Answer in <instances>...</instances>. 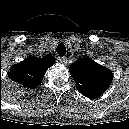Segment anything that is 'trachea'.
<instances>
[{"mask_svg": "<svg viewBox=\"0 0 129 129\" xmlns=\"http://www.w3.org/2000/svg\"><path fill=\"white\" fill-rule=\"evenodd\" d=\"M57 52L61 56H64L66 54V48H65L64 44H59L57 46Z\"/></svg>", "mask_w": 129, "mask_h": 129, "instance_id": "1", "label": "trachea"}]
</instances>
